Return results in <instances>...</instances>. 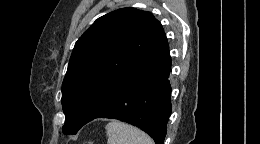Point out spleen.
<instances>
[{
	"mask_svg": "<svg viewBox=\"0 0 260 144\" xmlns=\"http://www.w3.org/2000/svg\"><path fill=\"white\" fill-rule=\"evenodd\" d=\"M105 129L107 144H154L143 131L117 120L108 123Z\"/></svg>",
	"mask_w": 260,
	"mask_h": 144,
	"instance_id": "spleen-1",
	"label": "spleen"
}]
</instances>
